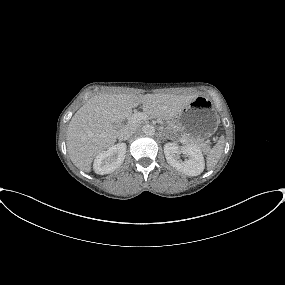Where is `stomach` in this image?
<instances>
[{
	"mask_svg": "<svg viewBox=\"0 0 285 285\" xmlns=\"http://www.w3.org/2000/svg\"><path fill=\"white\" fill-rule=\"evenodd\" d=\"M176 118L179 131L195 139L213 135L220 122L213 102L204 96H197Z\"/></svg>",
	"mask_w": 285,
	"mask_h": 285,
	"instance_id": "obj_1",
	"label": "stomach"
}]
</instances>
